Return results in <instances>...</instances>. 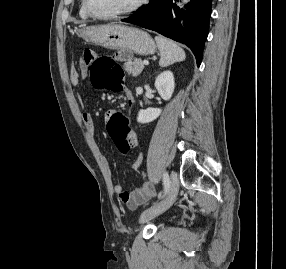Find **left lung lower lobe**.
<instances>
[{
	"mask_svg": "<svg viewBox=\"0 0 286 269\" xmlns=\"http://www.w3.org/2000/svg\"><path fill=\"white\" fill-rule=\"evenodd\" d=\"M179 0H150L146 7L123 22L154 30L184 43L194 53L199 66L208 35L212 0H191L187 10L176 5Z\"/></svg>",
	"mask_w": 286,
	"mask_h": 269,
	"instance_id": "obj_1",
	"label": "left lung lower lobe"
}]
</instances>
